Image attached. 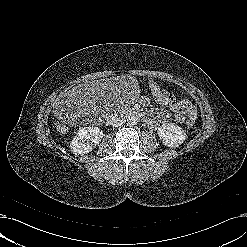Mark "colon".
<instances>
[{
  "label": "colon",
  "instance_id": "colon-1",
  "mask_svg": "<svg viewBox=\"0 0 247 247\" xmlns=\"http://www.w3.org/2000/svg\"><path fill=\"white\" fill-rule=\"evenodd\" d=\"M149 98L154 103L169 102L172 98L170 91H162L159 88L150 89ZM196 117L191 116L188 118L186 125L188 128H192L195 125ZM56 130L59 133H64L68 129V119H60L55 124Z\"/></svg>",
  "mask_w": 247,
  "mask_h": 247
}]
</instances>
